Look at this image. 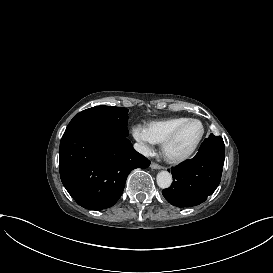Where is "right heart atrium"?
Segmentation results:
<instances>
[{"label": "right heart atrium", "mask_w": 273, "mask_h": 273, "mask_svg": "<svg viewBox=\"0 0 273 273\" xmlns=\"http://www.w3.org/2000/svg\"><path fill=\"white\" fill-rule=\"evenodd\" d=\"M132 135L139 143L142 152L149 154L152 151V142L149 140L146 131L142 126H134L132 128Z\"/></svg>", "instance_id": "1"}]
</instances>
